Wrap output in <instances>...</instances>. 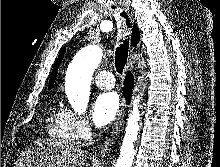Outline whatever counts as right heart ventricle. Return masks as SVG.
I'll use <instances>...</instances> for the list:
<instances>
[{
    "label": "right heart ventricle",
    "instance_id": "right-heart-ventricle-1",
    "mask_svg": "<svg viewBox=\"0 0 220 167\" xmlns=\"http://www.w3.org/2000/svg\"><path fill=\"white\" fill-rule=\"evenodd\" d=\"M47 131L50 137L63 145L75 141L64 110L53 108L48 116Z\"/></svg>",
    "mask_w": 220,
    "mask_h": 167
}]
</instances>
